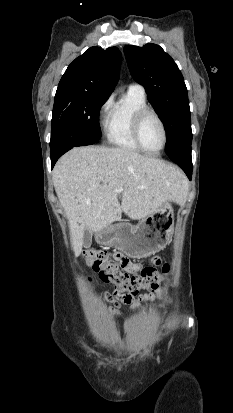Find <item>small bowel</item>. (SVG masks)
I'll return each instance as SVG.
<instances>
[{"instance_id":"small-bowel-1","label":"small bowel","mask_w":233,"mask_h":413,"mask_svg":"<svg viewBox=\"0 0 233 413\" xmlns=\"http://www.w3.org/2000/svg\"><path fill=\"white\" fill-rule=\"evenodd\" d=\"M114 260L117 262V265L130 276H137L139 273L138 269L143 268L142 262H137L136 265L132 264L134 262V257L121 253L120 249H117L114 253ZM155 297L156 293L123 294L116 289H113L112 292L104 294L103 299L113 304V306L109 308L110 315L120 316V307L123 304L132 305V311H135L140 309L143 302L152 300Z\"/></svg>"}]
</instances>
